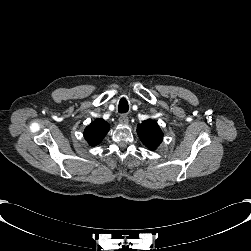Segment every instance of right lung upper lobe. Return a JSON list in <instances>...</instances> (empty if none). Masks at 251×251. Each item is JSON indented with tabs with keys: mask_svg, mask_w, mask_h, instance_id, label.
Masks as SVG:
<instances>
[{
	"mask_svg": "<svg viewBox=\"0 0 251 251\" xmlns=\"http://www.w3.org/2000/svg\"><path fill=\"white\" fill-rule=\"evenodd\" d=\"M109 131V124L103 119H96L84 131V137L91 146L99 144Z\"/></svg>",
	"mask_w": 251,
	"mask_h": 251,
	"instance_id": "cb5924a9",
	"label": "right lung upper lobe"
}]
</instances>
